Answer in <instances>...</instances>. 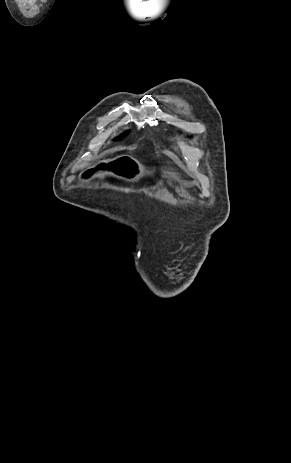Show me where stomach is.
I'll return each mask as SVG.
<instances>
[{
  "label": "stomach",
  "instance_id": "stomach-1",
  "mask_svg": "<svg viewBox=\"0 0 291 463\" xmlns=\"http://www.w3.org/2000/svg\"><path fill=\"white\" fill-rule=\"evenodd\" d=\"M105 168L109 176L116 174L127 181H135L143 174L151 172L146 171L137 160L128 156L118 157L111 162L108 157H101L99 162L94 164V170L90 169L81 176V181L83 183H88L90 180L95 182L97 180L96 176Z\"/></svg>",
  "mask_w": 291,
  "mask_h": 463
}]
</instances>
